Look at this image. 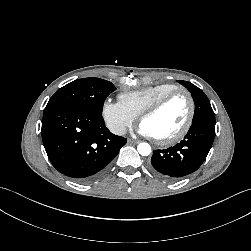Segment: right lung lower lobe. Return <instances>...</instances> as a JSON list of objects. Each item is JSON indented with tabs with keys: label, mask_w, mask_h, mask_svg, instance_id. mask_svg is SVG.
<instances>
[{
	"label": "right lung lower lobe",
	"mask_w": 251,
	"mask_h": 251,
	"mask_svg": "<svg viewBox=\"0 0 251 251\" xmlns=\"http://www.w3.org/2000/svg\"><path fill=\"white\" fill-rule=\"evenodd\" d=\"M41 134L52 165L78 182L101 176L127 142L106 128L102 113L83 109L44 112Z\"/></svg>",
	"instance_id": "98d812e1"
}]
</instances>
